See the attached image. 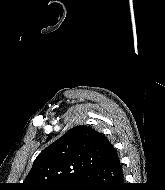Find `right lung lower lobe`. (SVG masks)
<instances>
[{"label":"right lung lower lobe","mask_w":165,"mask_h":190,"mask_svg":"<svg viewBox=\"0 0 165 190\" xmlns=\"http://www.w3.org/2000/svg\"><path fill=\"white\" fill-rule=\"evenodd\" d=\"M80 190H124L118 155L83 174Z\"/></svg>","instance_id":"obj_1"}]
</instances>
